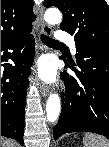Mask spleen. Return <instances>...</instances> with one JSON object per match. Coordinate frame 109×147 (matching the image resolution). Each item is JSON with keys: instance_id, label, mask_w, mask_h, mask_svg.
<instances>
[{"instance_id": "obj_1", "label": "spleen", "mask_w": 109, "mask_h": 147, "mask_svg": "<svg viewBox=\"0 0 109 147\" xmlns=\"http://www.w3.org/2000/svg\"><path fill=\"white\" fill-rule=\"evenodd\" d=\"M84 147H109V140L104 136L93 133H85L83 137Z\"/></svg>"}]
</instances>
